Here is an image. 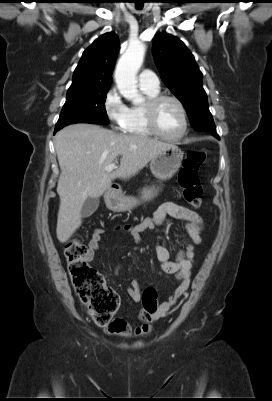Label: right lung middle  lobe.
Segmentation results:
<instances>
[{
	"label": "right lung middle lobe",
	"instance_id": "dd1d6c3e",
	"mask_svg": "<svg viewBox=\"0 0 272 401\" xmlns=\"http://www.w3.org/2000/svg\"><path fill=\"white\" fill-rule=\"evenodd\" d=\"M110 87L87 89L67 94L55 130L72 123L109 124L105 100Z\"/></svg>",
	"mask_w": 272,
	"mask_h": 401
}]
</instances>
